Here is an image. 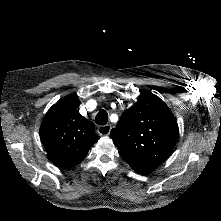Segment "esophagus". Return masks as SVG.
Returning a JSON list of instances; mask_svg holds the SVG:
<instances>
[{
    "label": "esophagus",
    "instance_id": "34e87169",
    "mask_svg": "<svg viewBox=\"0 0 221 221\" xmlns=\"http://www.w3.org/2000/svg\"><path fill=\"white\" fill-rule=\"evenodd\" d=\"M112 126L110 124L100 126L97 129V132L100 136H109L111 132Z\"/></svg>",
    "mask_w": 221,
    "mask_h": 221
}]
</instances>
